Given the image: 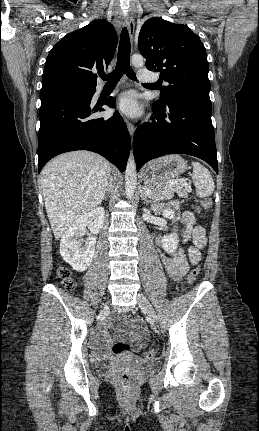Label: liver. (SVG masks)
Listing matches in <instances>:
<instances>
[{"mask_svg":"<svg viewBox=\"0 0 259 431\" xmlns=\"http://www.w3.org/2000/svg\"><path fill=\"white\" fill-rule=\"evenodd\" d=\"M111 171L106 159L89 151L64 153L45 165L40 183L56 239L102 202Z\"/></svg>","mask_w":259,"mask_h":431,"instance_id":"1","label":"liver"}]
</instances>
